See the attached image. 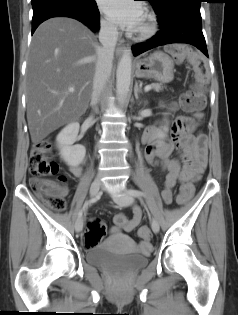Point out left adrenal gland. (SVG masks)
<instances>
[{
	"label": "left adrenal gland",
	"instance_id": "obj_1",
	"mask_svg": "<svg viewBox=\"0 0 238 315\" xmlns=\"http://www.w3.org/2000/svg\"><path fill=\"white\" fill-rule=\"evenodd\" d=\"M140 92H142L141 86H139L138 82H136L134 87V95L136 99H138V93Z\"/></svg>",
	"mask_w": 238,
	"mask_h": 315
}]
</instances>
